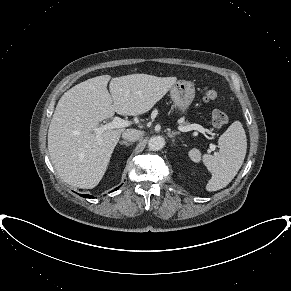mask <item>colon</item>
<instances>
[{"label": "colon", "mask_w": 291, "mask_h": 291, "mask_svg": "<svg viewBox=\"0 0 291 291\" xmlns=\"http://www.w3.org/2000/svg\"><path fill=\"white\" fill-rule=\"evenodd\" d=\"M220 94L215 89L207 86L203 89V99L205 102L216 103L220 101ZM212 123L217 128H222L228 123V116L221 110H214L211 115Z\"/></svg>", "instance_id": "5ec220e1"}]
</instances>
